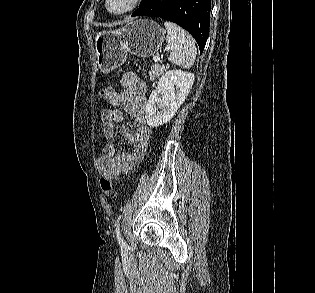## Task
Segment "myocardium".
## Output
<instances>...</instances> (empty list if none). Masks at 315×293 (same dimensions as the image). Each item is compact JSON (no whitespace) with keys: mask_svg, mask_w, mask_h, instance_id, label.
Listing matches in <instances>:
<instances>
[{"mask_svg":"<svg viewBox=\"0 0 315 293\" xmlns=\"http://www.w3.org/2000/svg\"><path fill=\"white\" fill-rule=\"evenodd\" d=\"M142 1L143 0H130L129 5L125 9H123L119 12H113L108 7L109 0H104V8L107 11V13H109L113 16H122V15L128 14V13L134 11L135 9H137L141 5Z\"/></svg>","mask_w":315,"mask_h":293,"instance_id":"f54148a6","label":"myocardium"}]
</instances>
